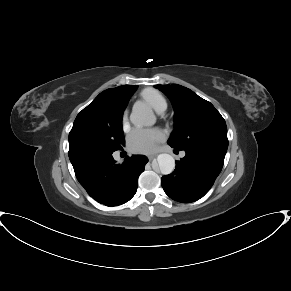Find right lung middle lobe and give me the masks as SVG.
I'll list each match as a JSON object with an SVG mask.
<instances>
[{"mask_svg":"<svg viewBox=\"0 0 291 291\" xmlns=\"http://www.w3.org/2000/svg\"><path fill=\"white\" fill-rule=\"evenodd\" d=\"M118 94L94 99L76 117L69 133V150L114 152L125 144L122 115L130 99Z\"/></svg>","mask_w":291,"mask_h":291,"instance_id":"right-lung-middle-lobe-1","label":"right lung middle lobe"}]
</instances>
